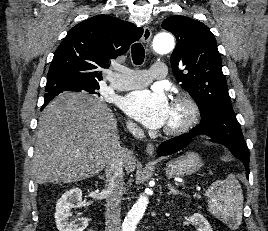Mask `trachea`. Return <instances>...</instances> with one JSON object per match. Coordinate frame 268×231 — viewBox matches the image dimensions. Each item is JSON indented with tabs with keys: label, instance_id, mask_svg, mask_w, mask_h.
<instances>
[{
	"label": "trachea",
	"instance_id": "obj_1",
	"mask_svg": "<svg viewBox=\"0 0 268 231\" xmlns=\"http://www.w3.org/2000/svg\"><path fill=\"white\" fill-rule=\"evenodd\" d=\"M132 60L134 64L141 65L145 58V50L141 43H134L131 46Z\"/></svg>",
	"mask_w": 268,
	"mask_h": 231
}]
</instances>
